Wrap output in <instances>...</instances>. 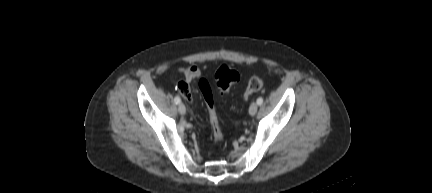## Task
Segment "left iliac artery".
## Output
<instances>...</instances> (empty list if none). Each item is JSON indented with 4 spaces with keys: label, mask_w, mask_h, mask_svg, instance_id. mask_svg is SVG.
<instances>
[{
    "label": "left iliac artery",
    "mask_w": 432,
    "mask_h": 193,
    "mask_svg": "<svg viewBox=\"0 0 432 193\" xmlns=\"http://www.w3.org/2000/svg\"><path fill=\"white\" fill-rule=\"evenodd\" d=\"M263 103V98L262 97H259L258 99H257V104L258 105H261Z\"/></svg>",
    "instance_id": "obj_1"
}]
</instances>
